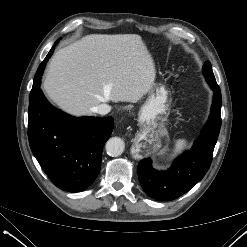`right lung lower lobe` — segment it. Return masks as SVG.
Wrapping results in <instances>:
<instances>
[{
	"label": "right lung lower lobe",
	"instance_id": "right-lung-lower-lobe-1",
	"mask_svg": "<svg viewBox=\"0 0 247 247\" xmlns=\"http://www.w3.org/2000/svg\"><path fill=\"white\" fill-rule=\"evenodd\" d=\"M28 138L41 168L60 189L81 192L96 179L112 117L75 118L54 108L40 88L29 98Z\"/></svg>",
	"mask_w": 247,
	"mask_h": 247
}]
</instances>
